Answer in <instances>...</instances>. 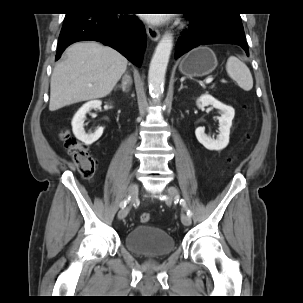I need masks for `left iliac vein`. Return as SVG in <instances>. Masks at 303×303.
<instances>
[{
	"label": "left iliac vein",
	"mask_w": 303,
	"mask_h": 303,
	"mask_svg": "<svg viewBox=\"0 0 303 303\" xmlns=\"http://www.w3.org/2000/svg\"><path fill=\"white\" fill-rule=\"evenodd\" d=\"M167 198H166V203L170 204L172 201V198L177 199L179 197V192L175 187H168L167 190ZM181 222L185 226H190L191 225V217L188 215H182L181 216Z\"/></svg>",
	"instance_id": "4c4485c4"
}]
</instances>
